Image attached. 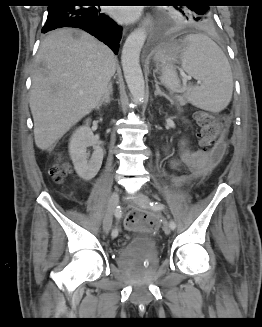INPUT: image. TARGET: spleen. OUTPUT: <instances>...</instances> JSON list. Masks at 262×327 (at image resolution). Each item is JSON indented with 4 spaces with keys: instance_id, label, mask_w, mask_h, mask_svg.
<instances>
[{
    "instance_id": "3e777b00",
    "label": "spleen",
    "mask_w": 262,
    "mask_h": 327,
    "mask_svg": "<svg viewBox=\"0 0 262 327\" xmlns=\"http://www.w3.org/2000/svg\"><path fill=\"white\" fill-rule=\"evenodd\" d=\"M185 47L181 54L182 69L201 82L200 86L187 87L185 96L194 106L210 111L220 112L230 102L233 92L231 67L223 51L208 36L189 34L184 38ZM162 55L161 50L156 58ZM163 64L161 81L172 91L183 89L172 65L174 58L166 59Z\"/></svg>"
}]
</instances>
